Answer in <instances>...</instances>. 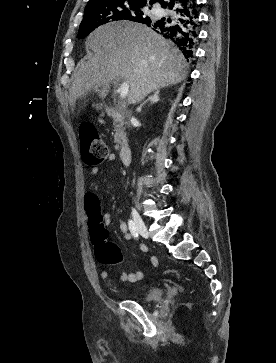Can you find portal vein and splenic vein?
I'll return each mask as SVG.
<instances>
[{
    "instance_id": "18ae733b",
    "label": "portal vein and splenic vein",
    "mask_w": 276,
    "mask_h": 363,
    "mask_svg": "<svg viewBox=\"0 0 276 363\" xmlns=\"http://www.w3.org/2000/svg\"><path fill=\"white\" fill-rule=\"evenodd\" d=\"M118 93L120 94L121 98H125L129 92V84L128 82H123L120 87L118 88Z\"/></svg>"
}]
</instances>
